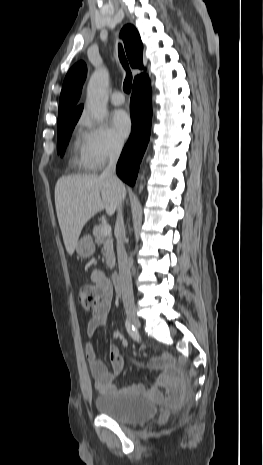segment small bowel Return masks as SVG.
<instances>
[{
    "mask_svg": "<svg viewBox=\"0 0 263 465\" xmlns=\"http://www.w3.org/2000/svg\"><path fill=\"white\" fill-rule=\"evenodd\" d=\"M91 278L92 281L103 290V298L94 308L91 309V316L86 327L88 340L85 345V352L95 388L100 393L132 392L137 388L129 387L119 389L113 384L114 376L120 374L124 368V361L118 349L114 346L110 349V360L114 373L109 372L105 363L98 359L96 355L91 339L97 329L104 325L109 318L112 289L109 280L102 272L93 271ZM149 368L153 370H160L161 374L158 377L156 384L148 389V395L157 402L165 401L171 404L179 403L184 397L186 383L181 371L176 368L173 359L168 355L153 358L149 362Z\"/></svg>",
    "mask_w": 263,
    "mask_h": 465,
    "instance_id": "c3829d8e",
    "label": "small bowel"
}]
</instances>
